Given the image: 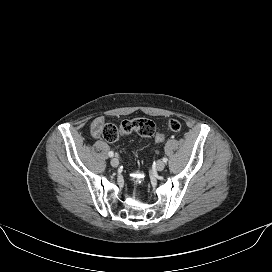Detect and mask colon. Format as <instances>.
<instances>
[{
    "label": "colon",
    "instance_id": "5ec220e1",
    "mask_svg": "<svg viewBox=\"0 0 272 272\" xmlns=\"http://www.w3.org/2000/svg\"><path fill=\"white\" fill-rule=\"evenodd\" d=\"M181 127L182 125L177 119H170L167 123V131L169 132L180 131ZM133 132L145 138L154 137L159 142L165 139V134L157 132L154 122L147 118L124 120L119 126L106 124L102 129V137L108 142H115Z\"/></svg>",
    "mask_w": 272,
    "mask_h": 272
}]
</instances>
